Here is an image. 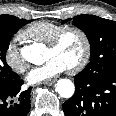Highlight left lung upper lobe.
Returning <instances> with one entry per match:
<instances>
[{
    "label": "left lung upper lobe",
    "mask_w": 116,
    "mask_h": 116,
    "mask_svg": "<svg viewBox=\"0 0 116 116\" xmlns=\"http://www.w3.org/2000/svg\"><path fill=\"white\" fill-rule=\"evenodd\" d=\"M72 24L87 36L90 62L80 73L87 77L116 73V22L94 15H78Z\"/></svg>",
    "instance_id": "5c2ea615"
}]
</instances>
